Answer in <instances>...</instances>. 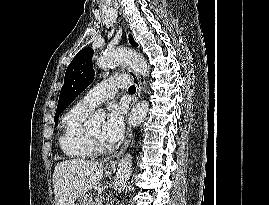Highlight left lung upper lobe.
Segmentation results:
<instances>
[{
	"label": "left lung upper lobe",
	"mask_w": 269,
	"mask_h": 205,
	"mask_svg": "<svg viewBox=\"0 0 269 205\" xmlns=\"http://www.w3.org/2000/svg\"><path fill=\"white\" fill-rule=\"evenodd\" d=\"M130 43L133 46H137L132 37H130ZM92 56L93 50L91 48H84L77 53L69 64L55 114L54 120L56 125L57 117L61 112L93 81Z\"/></svg>",
	"instance_id": "obj_1"
}]
</instances>
